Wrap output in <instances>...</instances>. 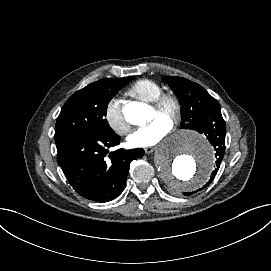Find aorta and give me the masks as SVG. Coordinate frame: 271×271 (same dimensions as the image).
Listing matches in <instances>:
<instances>
[{"label": "aorta", "instance_id": "1", "mask_svg": "<svg viewBox=\"0 0 271 271\" xmlns=\"http://www.w3.org/2000/svg\"><path fill=\"white\" fill-rule=\"evenodd\" d=\"M126 120L142 125L148 120L149 109L141 102L124 107ZM155 165L163 181L172 191H192L201 187L215 165L207 141L195 132L177 133L163 141L155 152Z\"/></svg>", "mask_w": 271, "mask_h": 271}]
</instances>
